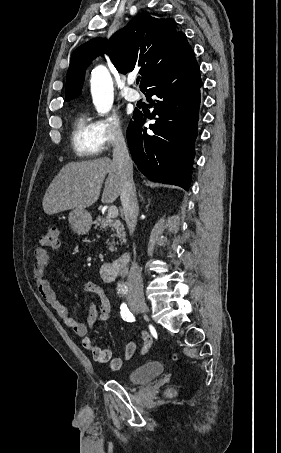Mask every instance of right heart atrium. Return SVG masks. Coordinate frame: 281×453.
<instances>
[{"mask_svg":"<svg viewBox=\"0 0 281 453\" xmlns=\"http://www.w3.org/2000/svg\"><path fill=\"white\" fill-rule=\"evenodd\" d=\"M93 97L102 100L109 96V86L103 80L94 79L92 81ZM98 130L104 145L107 148H114L122 144L125 140V129L122 122L116 116H106L97 121ZM109 171L115 175L119 170L117 165L110 164Z\"/></svg>","mask_w":281,"mask_h":453,"instance_id":"obj_1","label":"right heart atrium"}]
</instances>
